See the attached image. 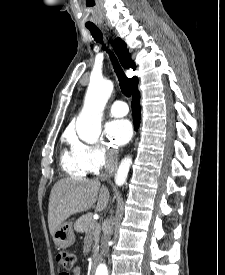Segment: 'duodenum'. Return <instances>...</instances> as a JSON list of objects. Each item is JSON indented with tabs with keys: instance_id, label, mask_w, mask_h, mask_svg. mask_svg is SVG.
Masks as SVG:
<instances>
[{
	"instance_id": "duodenum-1",
	"label": "duodenum",
	"mask_w": 225,
	"mask_h": 275,
	"mask_svg": "<svg viewBox=\"0 0 225 275\" xmlns=\"http://www.w3.org/2000/svg\"><path fill=\"white\" fill-rule=\"evenodd\" d=\"M95 267H96V258L93 257V258H92V261H91V266H90V274H91V275L94 274Z\"/></svg>"
}]
</instances>
